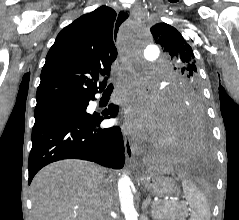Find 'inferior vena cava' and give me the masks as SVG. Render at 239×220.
I'll return each instance as SVG.
<instances>
[{
	"label": "inferior vena cava",
	"instance_id": "inferior-vena-cava-1",
	"mask_svg": "<svg viewBox=\"0 0 239 220\" xmlns=\"http://www.w3.org/2000/svg\"><path fill=\"white\" fill-rule=\"evenodd\" d=\"M113 204L112 188L105 181L100 196V214L97 216L98 220H111L109 213Z\"/></svg>",
	"mask_w": 239,
	"mask_h": 220
}]
</instances>
